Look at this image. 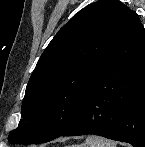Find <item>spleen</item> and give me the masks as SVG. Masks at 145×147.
Instances as JSON below:
<instances>
[{"mask_svg": "<svg viewBox=\"0 0 145 147\" xmlns=\"http://www.w3.org/2000/svg\"><path fill=\"white\" fill-rule=\"evenodd\" d=\"M73 147H116V143L98 136H89L81 145Z\"/></svg>", "mask_w": 145, "mask_h": 147, "instance_id": "spleen-1", "label": "spleen"}]
</instances>
